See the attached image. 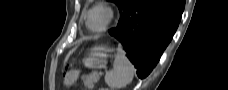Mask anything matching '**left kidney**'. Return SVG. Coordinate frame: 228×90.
<instances>
[{"instance_id":"obj_1","label":"left kidney","mask_w":228,"mask_h":90,"mask_svg":"<svg viewBox=\"0 0 228 90\" xmlns=\"http://www.w3.org/2000/svg\"><path fill=\"white\" fill-rule=\"evenodd\" d=\"M101 90H108V89H106V88H101Z\"/></svg>"}]
</instances>
